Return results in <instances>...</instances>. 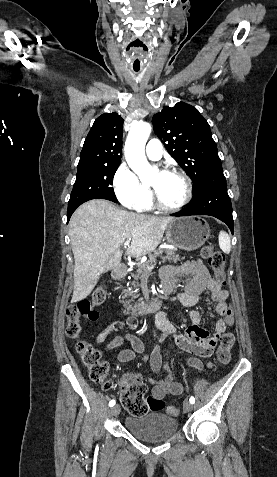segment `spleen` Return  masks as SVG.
I'll return each instance as SVG.
<instances>
[{"mask_svg": "<svg viewBox=\"0 0 277 477\" xmlns=\"http://www.w3.org/2000/svg\"><path fill=\"white\" fill-rule=\"evenodd\" d=\"M219 246L221 250L229 254L231 251L230 236L225 231L219 233Z\"/></svg>", "mask_w": 277, "mask_h": 477, "instance_id": "3e777b00", "label": "spleen"}]
</instances>
